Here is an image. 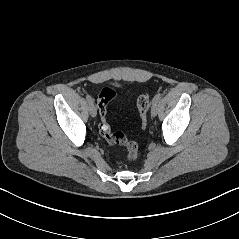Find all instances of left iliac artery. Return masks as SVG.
Here are the masks:
<instances>
[{
	"mask_svg": "<svg viewBox=\"0 0 239 239\" xmlns=\"http://www.w3.org/2000/svg\"><path fill=\"white\" fill-rule=\"evenodd\" d=\"M161 99V94L160 93H158V94H156L155 96H154V98H153V103H158V101Z\"/></svg>",
	"mask_w": 239,
	"mask_h": 239,
	"instance_id": "left-iliac-artery-1",
	"label": "left iliac artery"
}]
</instances>
